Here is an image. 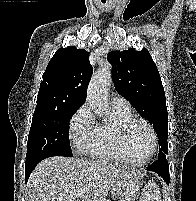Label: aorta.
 Wrapping results in <instances>:
<instances>
[{
  "instance_id": "762f6f07",
  "label": "aorta",
  "mask_w": 196,
  "mask_h": 201,
  "mask_svg": "<svg viewBox=\"0 0 196 201\" xmlns=\"http://www.w3.org/2000/svg\"><path fill=\"white\" fill-rule=\"evenodd\" d=\"M111 65L106 63L97 71L90 81L87 90V101L98 115H107L108 105V87L111 83Z\"/></svg>"
}]
</instances>
